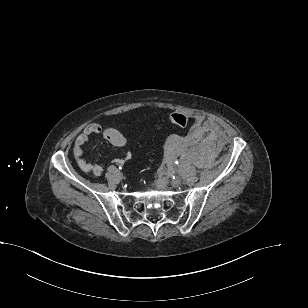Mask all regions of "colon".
Here are the masks:
<instances>
[{"label":"colon","instance_id":"5ec220e1","mask_svg":"<svg viewBox=\"0 0 308 308\" xmlns=\"http://www.w3.org/2000/svg\"><path fill=\"white\" fill-rule=\"evenodd\" d=\"M170 122L178 127H184L188 123V117L180 112H174L170 115Z\"/></svg>","mask_w":308,"mask_h":308}]
</instances>
